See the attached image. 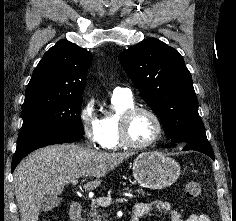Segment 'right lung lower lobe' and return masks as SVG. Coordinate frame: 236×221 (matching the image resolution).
<instances>
[{
    "instance_id": "obj_1",
    "label": "right lung lower lobe",
    "mask_w": 236,
    "mask_h": 221,
    "mask_svg": "<svg viewBox=\"0 0 236 221\" xmlns=\"http://www.w3.org/2000/svg\"><path fill=\"white\" fill-rule=\"evenodd\" d=\"M81 139V135L68 132L39 131L19 137L16 152L12 159L13 172L17 164L30 152L52 144L70 143Z\"/></svg>"
}]
</instances>
